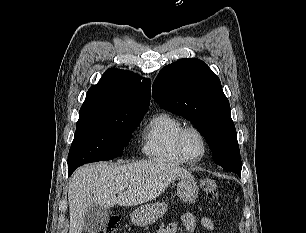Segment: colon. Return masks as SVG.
<instances>
[{
  "instance_id": "obj_1",
  "label": "colon",
  "mask_w": 306,
  "mask_h": 233,
  "mask_svg": "<svg viewBox=\"0 0 306 233\" xmlns=\"http://www.w3.org/2000/svg\"><path fill=\"white\" fill-rule=\"evenodd\" d=\"M202 191L210 199L218 196L217 184L212 178H204L200 182ZM119 225V218L112 216L109 218L107 224L98 233H116Z\"/></svg>"
}]
</instances>
